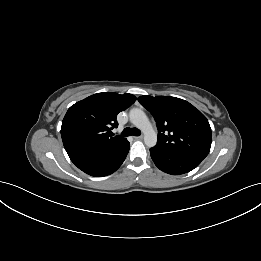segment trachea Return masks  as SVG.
<instances>
[{"instance_id":"3493384b","label":"trachea","mask_w":261,"mask_h":261,"mask_svg":"<svg viewBox=\"0 0 261 261\" xmlns=\"http://www.w3.org/2000/svg\"><path fill=\"white\" fill-rule=\"evenodd\" d=\"M140 136L141 135V131L137 128H125L122 132V136L127 137V136Z\"/></svg>"}]
</instances>
